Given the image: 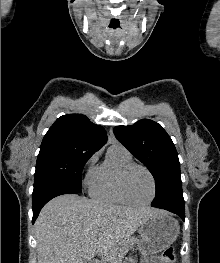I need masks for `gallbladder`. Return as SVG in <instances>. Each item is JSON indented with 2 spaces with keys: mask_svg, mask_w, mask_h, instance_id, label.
Instances as JSON below:
<instances>
[{
  "mask_svg": "<svg viewBox=\"0 0 220 263\" xmlns=\"http://www.w3.org/2000/svg\"><path fill=\"white\" fill-rule=\"evenodd\" d=\"M85 263H91V262L87 261V262H85Z\"/></svg>",
  "mask_w": 220,
  "mask_h": 263,
  "instance_id": "gallbladder-1",
  "label": "gallbladder"
}]
</instances>
